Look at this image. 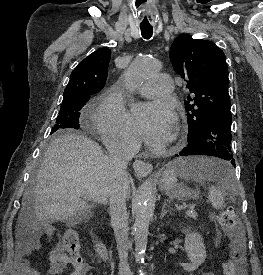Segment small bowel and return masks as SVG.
<instances>
[{
  "instance_id": "1",
  "label": "small bowel",
  "mask_w": 263,
  "mask_h": 275,
  "mask_svg": "<svg viewBox=\"0 0 263 275\" xmlns=\"http://www.w3.org/2000/svg\"><path fill=\"white\" fill-rule=\"evenodd\" d=\"M48 236L52 235V230L48 229L46 231ZM39 248V241L35 238L28 244L22 246V260L20 261L19 267L21 275H42L36 268L30 265V262L24 258L25 255H28L33 250ZM49 263L50 267L48 270L49 275H58L64 272L68 265L74 267L73 272L70 275H86L88 266L86 264L74 265L70 258L64 253V249L61 245H57L49 254ZM208 275H215L210 273Z\"/></svg>"
}]
</instances>
